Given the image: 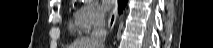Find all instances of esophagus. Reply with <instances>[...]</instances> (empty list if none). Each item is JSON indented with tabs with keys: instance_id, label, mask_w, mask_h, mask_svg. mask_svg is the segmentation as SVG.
I'll return each mask as SVG.
<instances>
[{
	"instance_id": "34e87169",
	"label": "esophagus",
	"mask_w": 213,
	"mask_h": 48,
	"mask_svg": "<svg viewBox=\"0 0 213 48\" xmlns=\"http://www.w3.org/2000/svg\"><path fill=\"white\" fill-rule=\"evenodd\" d=\"M117 20V5L114 7L112 10L109 19H108V31L109 33L113 30V27L116 23Z\"/></svg>"
}]
</instances>
